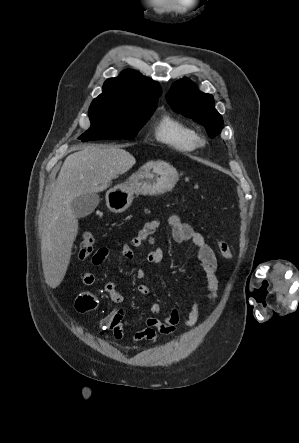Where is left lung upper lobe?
Masks as SVG:
<instances>
[{
    "label": "left lung upper lobe",
    "instance_id": "left-lung-upper-lobe-1",
    "mask_svg": "<svg viewBox=\"0 0 299 443\" xmlns=\"http://www.w3.org/2000/svg\"><path fill=\"white\" fill-rule=\"evenodd\" d=\"M166 99L176 113L203 125L209 137L213 138L221 132L223 119L214 107L213 96L201 92L188 78L175 82Z\"/></svg>",
    "mask_w": 299,
    "mask_h": 443
}]
</instances>
